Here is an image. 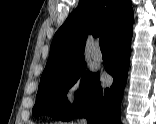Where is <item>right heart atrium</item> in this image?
I'll use <instances>...</instances> for the list:
<instances>
[{
	"label": "right heart atrium",
	"instance_id": "1",
	"mask_svg": "<svg viewBox=\"0 0 156 124\" xmlns=\"http://www.w3.org/2000/svg\"><path fill=\"white\" fill-rule=\"evenodd\" d=\"M85 90V77L82 73L75 76L63 92V100L69 106H74Z\"/></svg>",
	"mask_w": 156,
	"mask_h": 124
}]
</instances>
